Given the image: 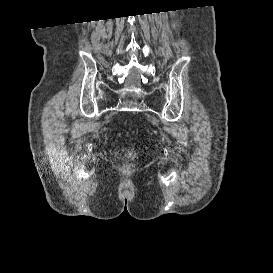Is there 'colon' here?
<instances>
[{
	"mask_svg": "<svg viewBox=\"0 0 273 273\" xmlns=\"http://www.w3.org/2000/svg\"><path fill=\"white\" fill-rule=\"evenodd\" d=\"M126 154H127L128 156H132L133 152H132L131 150H128V151L126 152Z\"/></svg>",
	"mask_w": 273,
	"mask_h": 273,
	"instance_id": "obj_1",
	"label": "colon"
}]
</instances>
